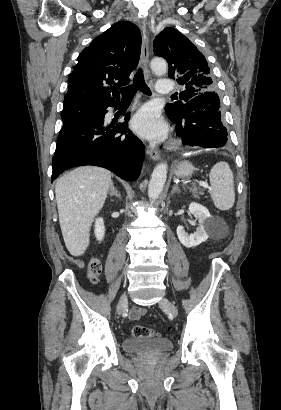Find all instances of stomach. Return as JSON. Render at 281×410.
<instances>
[{"label":"stomach","mask_w":281,"mask_h":410,"mask_svg":"<svg viewBox=\"0 0 281 410\" xmlns=\"http://www.w3.org/2000/svg\"><path fill=\"white\" fill-rule=\"evenodd\" d=\"M193 172L194 166L188 161L180 162L174 171L176 177L178 178H188L193 174Z\"/></svg>","instance_id":"obj_1"}]
</instances>
